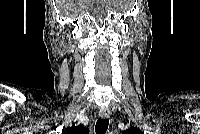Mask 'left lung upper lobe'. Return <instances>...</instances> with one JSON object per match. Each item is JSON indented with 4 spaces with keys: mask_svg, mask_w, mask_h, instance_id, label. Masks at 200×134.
Masks as SVG:
<instances>
[{
    "mask_svg": "<svg viewBox=\"0 0 200 134\" xmlns=\"http://www.w3.org/2000/svg\"><path fill=\"white\" fill-rule=\"evenodd\" d=\"M123 134H143V132L140 129L134 128V129L125 131Z\"/></svg>",
    "mask_w": 200,
    "mask_h": 134,
    "instance_id": "left-lung-upper-lobe-1",
    "label": "left lung upper lobe"
}]
</instances>
